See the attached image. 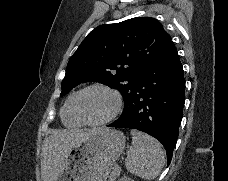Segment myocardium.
Listing matches in <instances>:
<instances>
[{
	"label": "myocardium",
	"mask_w": 228,
	"mask_h": 181,
	"mask_svg": "<svg viewBox=\"0 0 228 181\" xmlns=\"http://www.w3.org/2000/svg\"><path fill=\"white\" fill-rule=\"evenodd\" d=\"M90 90L104 91V92L108 93L112 97V100H113L112 106L107 111V113L103 117H101L100 119L95 120V121L85 120L82 117V115L80 113V109H79V103H80L81 96L85 92L90 91ZM122 107H123V99H122L121 94L116 89H114L108 85H104V84H95V85H91V86L85 88L77 95V97L74 101V109H75V112H76L77 116L79 117V119L83 123H85L87 125H91V126H98V125H101V124H104V123L110 121L116 115H118V113L121 111Z\"/></svg>",
	"instance_id": "1"
}]
</instances>
